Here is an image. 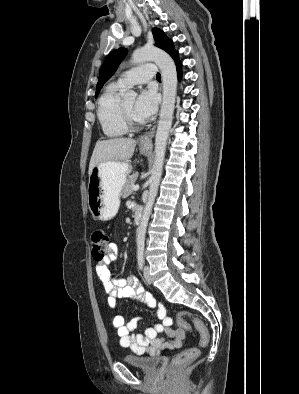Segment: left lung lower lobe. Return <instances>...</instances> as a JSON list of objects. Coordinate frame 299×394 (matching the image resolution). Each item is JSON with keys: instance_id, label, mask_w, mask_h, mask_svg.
<instances>
[{"instance_id": "obj_1", "label": "left lung lower lobe", "mask_w": 299, "mask_h": 394, "mask_svg": "<svg viewBox=\"0 0 299 394\" xmlns=\"http://www.w3.org/2000/svg\"><path fill=\"white\" fill-rule=\"evenodd\" d=\"M171 57L175 61V64H176V67H177L178 78H181V76H182L181 66L182 65H181V62L179 60L178 52L176 51Z\"/></svg>"}]
</instances>
